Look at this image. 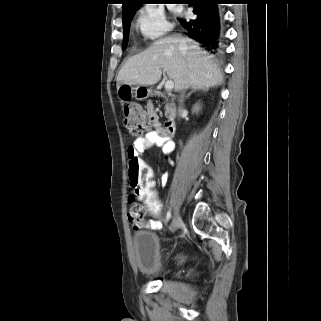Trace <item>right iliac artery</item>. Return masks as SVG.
<instances>
[{"label": "right iliac artery", "instance_id": "obj_1", "mask_svg": "<svg viewBox=\"0 0 321 321\" xmlns=\"http://www.w3.org/2000/svg\"><path fill=\"white\" fill-rule=\"evenodd\" d=\"M170 218H171V211H168L166 215V221H169Z\"/></svg>", "mask_w": 321, "mask_h": 321}]
</instances>
